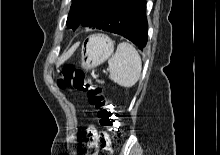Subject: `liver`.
Listing matches in <instances>:
<instances>
[{"instance_id":"6515ba94","label":"liver","mask_w":220,"mask_h":155,"mask_svg":"<svg viewBox=\"0 0 220 155\" xmlns=\"http://www.w3.org/2000/svg\"><path fill=\"white\" fill-rule=\"evenodd\" d=\"M78 45H75L67 54L63 55L60 60H59V64L63 63L65 60H67L75 51V49L77 48Z\"/></svg>"}]
</instances>
